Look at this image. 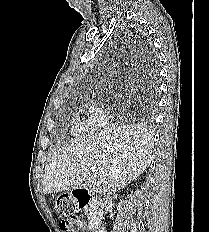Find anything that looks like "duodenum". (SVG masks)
Masks as SVG:
<instances>
[{"label":"duodenum","instance_id":"duodenum-1","mask_svg":"<svg viewBox=\"0 0 209 232\" xmlns=\"http://www.w3.org/2000/svg\"><path fill=\"white\" fill-rule=\"evenodd\" d=\"M73 194L77 200L78 206L82 209L89 206H99L101 204V200L95 197L87 187H76ZM90 232H103L98 221L92 223Z\"/></svg>","mask_w":209,"mask_h":232}]
</instances>
